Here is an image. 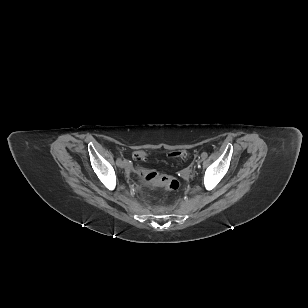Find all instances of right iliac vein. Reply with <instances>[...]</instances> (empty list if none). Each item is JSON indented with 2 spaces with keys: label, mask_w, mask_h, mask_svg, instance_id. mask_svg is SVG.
<instances>
[{
  "label": "right iliac vein",
  "mask_w": 308,
  "mask_h": 308,
  "mask_svg": "<svg viewBox=\"0 0 308 308\" xmlns=\"http://www.w3.org/2000/svg\"><path fill=\"white\" fill-rule=\"evenodd\" d=\"M118 166L120 168H125L126 167V162L121 160L120 163L118 164Z\"/></svg>",
  "instance_id": "63e3f726"
}]
</instances>
